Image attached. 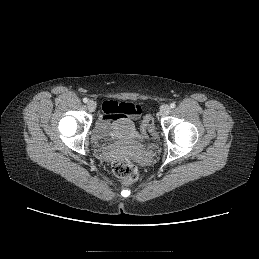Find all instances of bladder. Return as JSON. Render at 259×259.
Here are the masks:
<instances>
[{"label": "bladder", "mask_w": 259, "mask_h": 259, "mask_svg": "<svg viewBox=\"0 0 259 259\" xmlns=\"http://www.w3.org/2000/svg\"><path fill=\"white\" fill-rule=\"evenodd\" d=\"M134 134V127L132 122L125 123L119 121L114 125V131L112 136L114 138H128Z\"/></svg>", "instance_id": "obj_1"}]
</instances>
